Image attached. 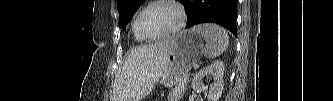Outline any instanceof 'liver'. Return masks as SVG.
Here are the masks:
<instances>
[{
  "label": "liver",
  "mask_w": 333,
  "mask_h": 101,
  "mask_svg": "<svg viewBox=\"0 0 333 101\" xmlns=\"http://www.w3.org/2000/svg\"><path fill=\"white\" fill-rule=\"evenodd\" d=\"M169 52V41L133 49L115 77L113 101L144 99L166 70Z\"/></svg>",
  "instance_id": "liver-1"
}]
</instances>
